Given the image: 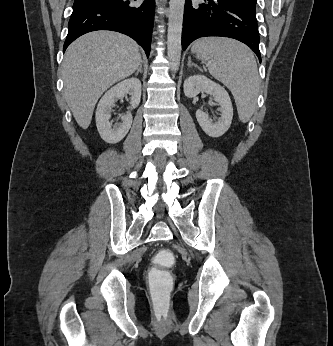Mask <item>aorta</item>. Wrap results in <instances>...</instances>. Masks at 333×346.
Segmentation results:
<instances>
[{
	"instance_id": "aorta-1",
	"label": "aorta",
	"mask_w": 333,
	"mask_h": 346,
	"mask_svg": "<svg viewBox=\"0 0 333 346\" xmlns=\"http://www.w3.org/2000/svg\"><path fill=\"white\" fill-rule=\"evenodd\" d=\"M185 0H170L167 36V54L173 72L180 66L181 34Z\"/></svg>"
}]
</instances>
